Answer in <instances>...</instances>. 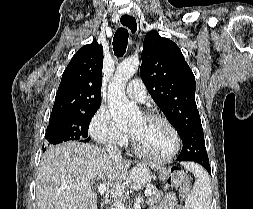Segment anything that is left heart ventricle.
<instances>
[{
  "label": "left heart ventricle",
  "instance_id": "obj_1",
  "mask_svg": "<svg viewBox=\"0 0 253 209\" xmlns=\"http://www.w3.org/2000/svg\"><path fill=\"white\" fill-rule=\"evenodd\" d=\"M130 132L140 147L153 156H164L173 149V134L162 121L141 116L133 123Z\"/></svg>",
  "mask_w": 253,
  "mask_h": 209
}]
</instances>
